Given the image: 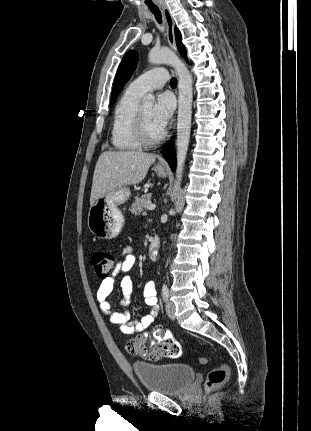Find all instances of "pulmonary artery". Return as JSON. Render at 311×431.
<instances>
[{
    "mask_svg": "<svg viewBox=\"0 0 311 431\" xmlns=\"http://www.w3.org/2000/svg\"><path fill=\"white\" fill-rule=\"evenodd\" d=\"M169 78L170 76L166 69L162 67L153 68L132 81L128 86V90L142 96L150 90L163 87Z\"/></svg>",
    "mask_w": 311,
    "mask_h": 431,
    "instance_id": "1",
    "label": "pulmonary artery"
}]
</instances>
